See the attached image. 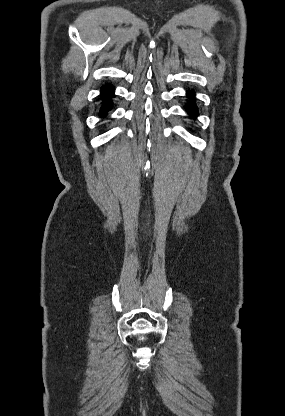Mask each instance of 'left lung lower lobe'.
I'll return each mask as SVG.
<instances>
[{
    "label": "left lung lower lobe",
    "instance_id": "left-lung-lower-lobe-1",
    "mask_svg": "<svg viewBox=\"0 0 285 416\" xmlns=\"http://www.w3.org/2000/svg\"><path fill=\"white\" fill-rule=\"evenodd\" d=\"M188 96H189L190 99L194 100L193 92H188ZM186 110L188 111V113L191 116H193V117H196L197 116L198 111H197L196 105H195V103L193 101H190L186 105Z\"/></svg>",
    "mask_w": 285,
    "mask_h": 416
}]
</instances>
